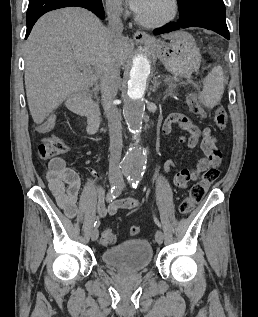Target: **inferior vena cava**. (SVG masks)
Wrapping results in <instances>:
<instances>
[{
  "label": "inferior vena cava",
  "instance_id": "1",
  "mask_svg": "<svg viewBox=\"0 0 258 317\" xmlns=\"http://www.w3.org/2000/svg\"><path fill=\"white\" fill-rule=\"evenodd\" d=\"M108 14L107 36L110 48H114L118 38L123 32V24L120 18L119 6H116L112 0L106 2ZM100 86L102 92V104L106 110L110 136V161L109 178L111 181L121 180L120 159L123 146L121 114L118 112L113 100L117 94L119 84L120 62L116 54H107L100 68Z\"/></svg>",
  "mask_w": 258,
  "mask_h": 317
}]
</instances>
